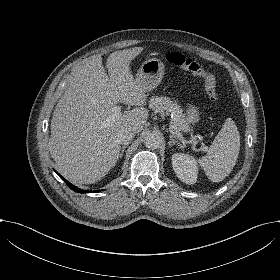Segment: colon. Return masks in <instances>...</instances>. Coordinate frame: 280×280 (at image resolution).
Masks as SVG:
<instances>
[{
    "label": "colon",
    "mask_w": 280,
    "mask_h": 280,
    "mask_svg": "<svg viewBox=\"0 0 280 280\" xmlns=\"http://www.w3.org/2000/svg\"><path fill=\"white\" fill-rule=\"evenodd\" d=\"M172 61L177 65L182 66L184 69L191 73L202 75L207 97L211 101L218 100L216 79L214 78V76L207 73L197 61L185 57H178Z\"/></svg>",
    "instance_id": "obj_1"
}]
</instances>
